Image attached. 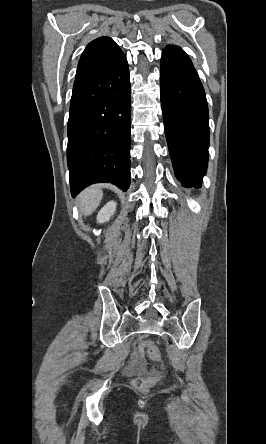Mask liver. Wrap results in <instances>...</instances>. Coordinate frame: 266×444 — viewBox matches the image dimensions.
I'll return each mask as SVG.
<instances>
[{"label": "liver", "mask_w": 266, "mask_h": 444, "mask_svg": "<svg viewBox=\"0 0 266 444\" xmlns=\"http://www.w3.org/2000/svg\"><path fill=\"white\" fill-rule=\"evenodd\" d=\"M103 198V192L98 185H93L85 189L79 196V208L85 215H91L99 206Z\"/></svg>", "instance_id": "6515ba94"}]
</instances>
